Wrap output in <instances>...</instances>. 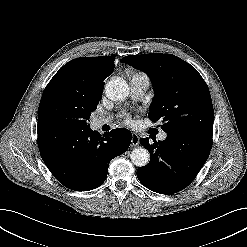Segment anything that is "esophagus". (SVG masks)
Masks as SVG:
<instances>
[{
  "mask_svg": "<svg viewBox=\"0 0 247 247\" xmlns=\"http://www.w3.org/2000/svg\"><path fill=\"white\" fill-rule=\"evenodd\" d=\"M139 144V136L136 133H132L131 147H136Z\"/></svg>",
  "mask_w": 247,
  "mask_h": 247,
  "instance_id": "34e87169",
  "label": "esophagus"
}]
</instances>
